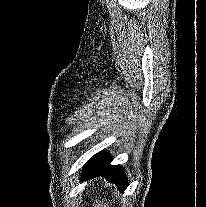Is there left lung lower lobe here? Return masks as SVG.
<instances>
[{
  "mask_svg": "<svg viewBox=\"0 0 206 207\" xmlns=\"http://www.w3.org/2000/svg\"><path fill=\"white\" fill-rule=\"evenodd\" d=\"M112 158L106 153H97L89 159L85 164L82 180L95 176H102L118 186V189L123 192L127 186V177L124 171L118 165H110Z\"/></svg>",
  "mask_w": 206,
  "mask_h": 207,
  "instance_id": "0a47b994",
  "label": "left lung lower lobe"
}]
</instances>
